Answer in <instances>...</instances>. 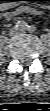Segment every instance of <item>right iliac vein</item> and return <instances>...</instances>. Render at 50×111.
Returning a JSON list of instances; mask_svg holds the SVG:
<instances>
[{
    "label": "right iliac vein",
    "mask_w": 50,
    "mask_h": 111,
    "mask_svg": "<svg viewBox=\"0 0 50 111\" xmlns=\"http://www.w3.org/2000/svg\"><path fill=\"white\" fill-rule=\"evenodd\" d=\"M17 33V29H15V28H12L10 31H9V34L10 35H14V34H16Z\"/></svg>",
    "instance_id": "right-iliac-vein-1"
}]
</instances>
